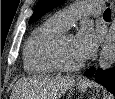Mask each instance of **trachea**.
<instances>
[{"label":"trachea","instance_id":"trachea-1","mask_svg":"<svg viewBox=\"0 0 115 99\" xmlns=\"http://www.w3.org/2000/svg\"><path fill=\"white\" fill-rule=\"evenodd\" d=\"M104 17L110 18L111 17V11L110 8H107L103 14Z\"/></svg>","mask_w":115,"mask_h":99}]
</instances>
